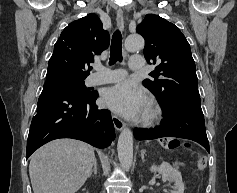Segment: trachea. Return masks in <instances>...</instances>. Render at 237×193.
I'll use <instances>...</instances> for the list:
<instances>
[{
    "label": "trachea",
    "mask_w": 237,
    "mask_h": 193,
    "mask_svg": "<svg viewBox=\"0 0 237 193\" xmlns=\"http://www.w3.org/2000/svg\"><path fill=\"white\" fill-rule=\"evenodd\" d=\"M122 35L119 30H116L112 36L111 47H110V62L112 65L116 61H122Z\"/></svg>",
    "instance_id": "obj_1"
}]
</instances>
